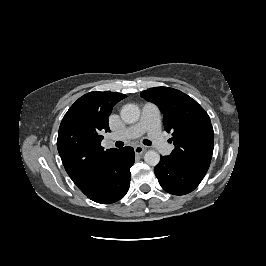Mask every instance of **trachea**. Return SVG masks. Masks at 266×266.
Instances as JSON below:
<instances>
[{"mask_svg":"<svg viewBox=\"0 0 266 266\" xmlns=\"http://www.w3.org/2000/svg\"><path fill=\"white\" fill-rule=\"evenodd\" d=\"M143 144H145V145H147V146H151L152 145V142L150 141V140H148V139H144L143 140ZM124 145V143L122 142V141H117L116 143H115V146L116 147H122Z\"/></svg>","mask_w":266,"mask_h":266,"instance_id":"3493384b","label":"trachea"}]
</instances>
